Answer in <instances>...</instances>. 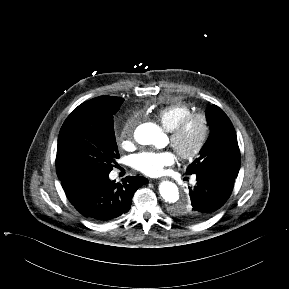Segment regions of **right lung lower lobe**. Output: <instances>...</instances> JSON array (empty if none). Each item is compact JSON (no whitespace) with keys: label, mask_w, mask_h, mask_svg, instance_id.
Returning a JSON list of instances; mask_svg holds the SVG:
<instances>
[{"label":"right lung lower lobe","mask_w":289,"mask_h":289,"mask_svg":"<svg viewBox=\"0 0 289 289\" xmlns=\"http://www.w3.org/2000/svg\"><path fill=\"white\" fill-rule=\"evenodd\" d=\"M108 175L62 182L71 204L93 221H109L127 213L135 191L148 182L141 176H127L123 184H117Z\"/></svg>","instance_id":"obj_1"}]
</instances>
